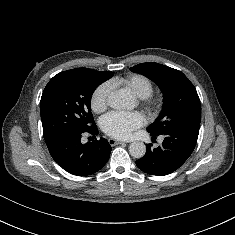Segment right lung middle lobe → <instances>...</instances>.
<instances>
[{"label":"right lung middle lobe","mask_w":235,"mask_h":235,"mask_svg":"<svg viewBox=\"0 0 235 235\" xmlns=\"http://www.w3.org/2000/svg\"><path fill=\"white\" fill-rule=\"evenodd\" d=\"M112 76L113 72L77 68L58 73L49 81L40 101L47 145L64 133L87 132L94 126L90 106L92 94L99 84Z\"/></svg>","instance_id":"obj_1"}]
</instances>
